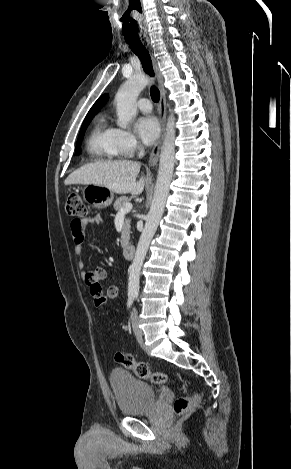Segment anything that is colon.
Masks as SVG:
<instances>
[{"label": "colon", "instance_id": "1", "mask_svg": "<svg viewBox=\"0 0 291 469\" xmlns=\"http://www.w3.org/2000/svg\"><path fill=\"white\" fill-rule=\"evenodd\" d=\"M66 212L69 216L75 219H82L86 215V206L82 197L77 193H71L66 200ZM106 296L100 293L93 299L94 309L101 311L107 306ZM115 361L127 369H130L134 374L141 379H148L157 385L165 384L168 381V376L162 371H153L144 362H138L129 353L117 352L115 354ZM199 401L196 395L180 397L175 401V412L181 414L191 407L195 406Z\"/></svg>", "mask_w": 291, "mask_h": 469}]
</instances>
